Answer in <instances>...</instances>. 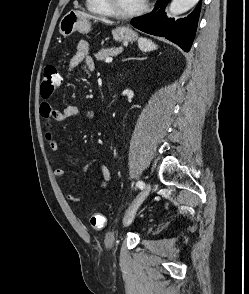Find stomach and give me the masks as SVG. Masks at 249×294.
Listing matches in <instances>:
<instances>
[{
	"mask_svg": "<svg viewBox=\"0 0 249 294\" xmlns=\"http://www.w3.org/2000/svg\"><path fill=\"white\" fill-rule=\"evenodd\" d=\"M91 29L90 18L83 16L79 11L71 10L66 13L59 23V32L68 37L75 31L88 33ZM112 35L115 41H134L137 34L130 27L119 26L113 29Z\"/></svg>",
	"mask_w": 249,
	"mask_h": 294,
	"instance_id": "stomach-1",
	"label": "stomach"
}]
</instances>
